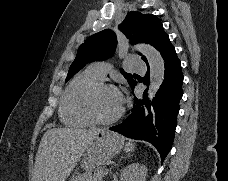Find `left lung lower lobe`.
I'll return each instance as SVG.
<instances>
[{"instance_id": "1", "label": "left lung lower lobe", "mask_w": 228, "mask_h": 181, "mask_svg": "<svg viewBox=\"0 0 228 181\" xmlns=\"http://www.w3.org/2000/svg\"><path fill=\"white\" fill-rule=\"evenodd\" d=\"M156 49L165 62L164 80L160 89L152 102L147 99V90L143 92L142 98L134 96V107L130 115L110 130L128 138L150 142L160 153L163 162L174 139L179 101L183 95V75L180 61L169 37L164 39ZM144 61L148 67L145 79H136L147 85L149 84V65L147 60ZM136 85L137 81L131 85L133 92Z\"/></svg>"}]
</instances>
